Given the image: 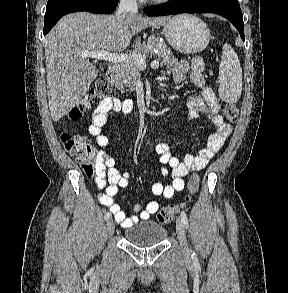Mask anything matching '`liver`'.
<instances>
[{
	"label": "liver",
	"instance_id": "6515ba94",
	"mask_svg": "<svg viewBox=\"0 0 288 293\" xmlns=\"http://www.w3.org/2000/svg\"><path fill=\"white\" fill-rule=\"evenodd\" d=\"M169 17H142L137 13L97 15L78 12L66 15L45 37L47 95L51 117H61L78 105L98 75L83 52H122L135 34L160 25Z\"/></svg>",
	"mask_w": 288,
	"mask_h": 293
}]
</instances>
